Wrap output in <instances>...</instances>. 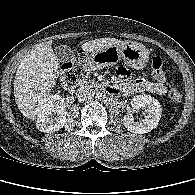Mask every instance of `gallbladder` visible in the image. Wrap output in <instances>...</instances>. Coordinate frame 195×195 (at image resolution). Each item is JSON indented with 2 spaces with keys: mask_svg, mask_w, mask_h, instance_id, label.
Instances as JSON below:
<instances>
[{
  "mask_svg": "<svg viewBox=\"0 0 195 195\" xmlns=\"http://www.w3.org/2000/svg\"><path fill=\"white\" fill-rule=\"evenodd\" d=\"M54 53L58 60L62 63L68 62L74 58L73 50L67 45H58L54 49Z\"/></svg>",
  "mask_w": 195,
  "mask_h": 195,
  "instance_id": "1",
  "label": "gallbladder"
}]
</instances>
